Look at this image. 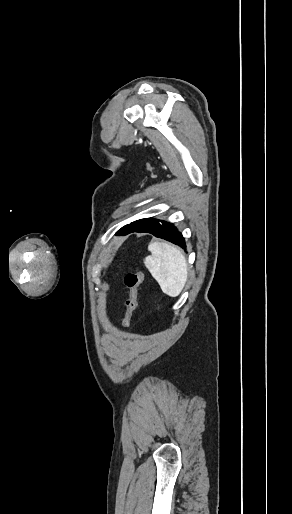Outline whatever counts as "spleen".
<instances>
[{"mask_svg": "<svg viewBox=\"0 0 292 514\" xmlns=\"http://www.w3.org/2000/svg\"><path fill=\"white\" fill-rule=\"evenodd\" d=\"M151 256H147L144 264L154 280L158 282L162 292L175 298L181 294L188 278V268L183 252L161 242H151L148 246Z\"/></svg>", "mask_w": 292, "mask_h": 514, "instance_id": "spleen-1", "label": "spleen"}]
</instances>
